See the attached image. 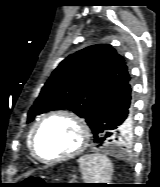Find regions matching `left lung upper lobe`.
Returning <instances> with one entry per match:
<instances>
[{"mask_svg": "<svg viewBox=\"0 0 160 187\" xmlns=\"http://www.w3.org/2000/svg\"><path fill=\"white\" fill-rule=\"evenodd\" d=\"M130 81L122 56L108 44L84 48L64 59L42 87L28 112L27 123L36 115L67 109L85 119L92 129L104 102ZM127 125L118 131L123 133ZM132 127L122 144L129 149Z\"/></svg>", "mask_w": 160, "mask_h": 187, "instance_id": "5c2ea615", "label": "left lung upper lobe"}]
</instances>
